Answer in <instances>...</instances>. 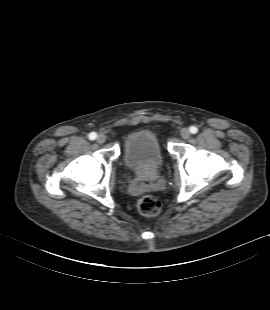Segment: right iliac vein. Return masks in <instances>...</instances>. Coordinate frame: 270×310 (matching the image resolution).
Instances as JSON below:
<instances>
[{"label":"right iliac vein","instance_id":"obj_1","mask_svg":"<svg viewBox=\"0 0 270 310\" xmlns=\"http://www.w3.org/2000/svg\"><path fill=\"white\" fill-rule=\"evenodd\" d=\"M105 141H106V136H105L104 134L98 135V137H97V142H98V143L102 144V143H104Z\"/></svg>","mask_w":270,"mask_h":310}]
</instances>
